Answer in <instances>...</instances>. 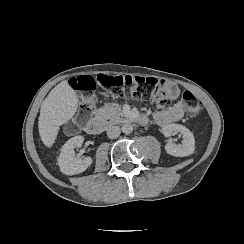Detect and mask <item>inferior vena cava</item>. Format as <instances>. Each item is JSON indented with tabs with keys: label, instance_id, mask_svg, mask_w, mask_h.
<instances>
[{
	"label": "inferior vena cava",
	"instance_id": "1",
	"mask_svg": "<svg viewBox=\"0 0 244 244\" xmlns=\"http://www.w3.org/2000/svg\"><path fill=\"white\" fill-rule=\"evenodd\" d=\"M121 133V130L118 126H111L107 129V136L110 139H115L117 138Z\"/></svg>",
	"mask_w": 244,
	"mask_h": 244
}]
</instances>
